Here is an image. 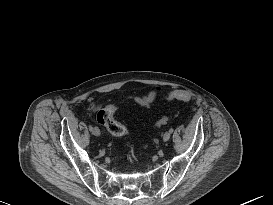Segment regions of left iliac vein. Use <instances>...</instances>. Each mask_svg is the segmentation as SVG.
<instances>
[{
  "label": "left iliac vein",
  "instance_id": "4c4485c4",
  "mask_svg": "<svg viewBox=\"0 0 273 205\" xmlns=\"http://www.w3.org/2000/svg\"><path fill=\"white\" fill-rule=\"evenodd\" d=\"M170 136H171L170 132H168V131L165 132L163 135V141L167 142L170 139Z\"/></svg>",
  "mask_w": 273,
  "mask_h": 205
}]
</instances>
